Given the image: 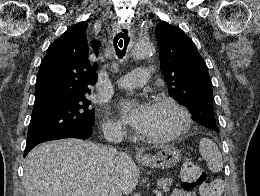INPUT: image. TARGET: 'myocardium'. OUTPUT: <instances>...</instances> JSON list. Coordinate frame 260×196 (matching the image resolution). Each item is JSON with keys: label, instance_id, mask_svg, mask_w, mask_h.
Masks as SVG:
<instances>
[{"label": "myocardium", "instance_id": "1", "mask_svg": "<svg viewBox=\"0 0 260 196\" xmlns=\"http://www.w3.org/2000/svg\"><path fill=\"white\" fill-rule=\"evenodd\" d=\"M151 104H165L172 106L175 108L181 115L182 117V123L181 125L170 132L161 134V135H148L147 140L150 142H167L171 141L175 138L180 137L183 135L186 131H188L190 125H191V113L190 111L183 105L181 104L177 99L171 96L163 95V96H155L151 100Z\"/></svg>", "mask_w": 260, "mask_h": 196}]
</instances>
